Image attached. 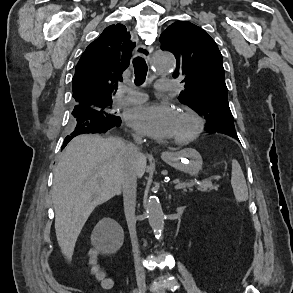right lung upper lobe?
I'll use <instances>...</instances> for the list:
<instances>
[{
	"label": "right lung upper lobe",
	"instance_id": "obj_1",
	"mask_svg": "<svg viewBox=\"0 0 293 293\" xmlns=\"http://www.w3.org/2000/svg\"><path fill=\"white\" fill-rule=\"evenodd\" d=\"M135 43L122 24L110 25L82 54L73 77L76 106L97 108L95 101L111 100L129 66Z\"/></svg>",
	"mask_w": 293,
	"mask_h": 293
}]
</instances>
